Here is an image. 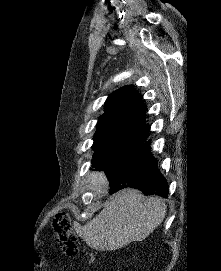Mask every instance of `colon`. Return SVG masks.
Returning <instances> with one entry per match:
<instances>
[{"label":"colon","mask_w":221,"mask_h":271,"mask_svg":"<svg viewBox=\"0 0 221 271\" xmlns=\"http://www.w3.org/2000/svg\"><path fill=\"white\" fill-rule=\"evenodd\" d=\"M52 231L55 241L60 245L65 254L69 256L78 255L79 244L73 226V218L68 212L60 211L54 215Z\"/></svg>","instance_id":"1"}]
</instances>
